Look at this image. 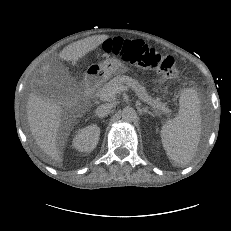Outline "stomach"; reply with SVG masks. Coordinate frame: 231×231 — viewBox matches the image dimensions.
I'll use <instances>...</instances> for the list:
<instances>
[{
    "label": "stomach",
    "instance_id": "obj_1",
    "mask_svg": "<svg viewBox=\"0 0 231 231\" xmlns=\"http://www.w3.org/2000/svg\"><path fill=\"white\" fill-rule=\"evenodd\" d=\"M127 69L117 58H108L99 64L91 65L86 72V78L106 81L113 75L122 74Z\"/></svg>",
    "mask_w": 231,
    "mask_h": 231
}]
</instances>
